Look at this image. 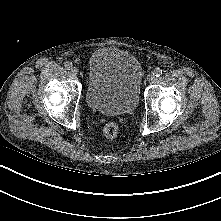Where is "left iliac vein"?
<instances>
[{
  "mask_svg": "<svg viewBox=\"0 0 221 221\" xmlns=\"http://www.w3.org/2000/svg\"><path fill=\"white\" fill-rule=\"evenodd\" d=\"M155 79V75L153 73H150L147 75V80L148 81H153Z\"/></svg>",
  "mask_w": 221,
  "mask_h": 221,
  "instance_id": "obj_1",
  "label": "left iliac vein"
}]
</instances>
